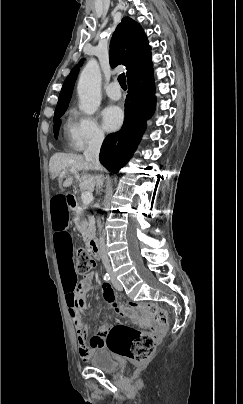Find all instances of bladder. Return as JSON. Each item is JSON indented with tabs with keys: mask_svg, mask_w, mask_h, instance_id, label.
I'll return each instance as SVG.
<instances>
[{
	"mask_svg": "<svg viewBox=\"0 0 243 404\" xmlns=\"http://www.w3.org/2000/svg\"><path fill=\"white\" fill-rule=\"evenodd\" d=\"M92 367L103 372H114L118 369V361L108 349H98L94 351L89 359Z\"/></svg>",
	"mask_w": 243,
	"mask_h": 404,
	"instance_id": "1",
	"label": "bladder"
}]
</instances>
